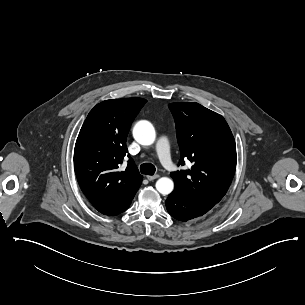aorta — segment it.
<instances>
[{
    "instance_id": "762f6f07",
    "label": "aorta",
    "mask_w": 305,
    "mask_h": 305,
    "mask_svg": "<svg viewBox=\"0 0 305 305\" xmlns=\"http://www.w3.org/2000/svg\"><path fill=\"white\" fill-rule=\"evenodd\" d=\"M134 139L141 145H151L155 141V129L148 121H139L133 129ZM156 189L163 195L170 194L174 189V182L168 177H162L156 182Z\"/></svg>"
}]
</instances>
